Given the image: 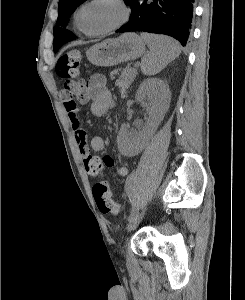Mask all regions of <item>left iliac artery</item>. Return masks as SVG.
I'll list each match as a JSON object with an SVG mask.
<instances>
[{
	"label": "left iliac artery",
	"mask_w": 245,
	"mask_h": 300,
	"mask_svg": "<svg viewBox=\"0 0 245 300\" xmlns=\"http://www.w3.org/2000/svg\"><path fill=\"white\" fill-rule=\"evenodd\" d=\"M134 181H135V176L132 174V175H130V177L128 178V180H127V183H126V197H127V199L130 201V203L131 204H134L133 205V208H132V211H131V213H130V215H129V218H128V220H131L133 217H135L137 214H138V207L136 206V203H137V198H136V196H135V194H134V192H133V183H134Z\"/></svg>",
	"instance_id": "obj_1"
}]
</instances>
